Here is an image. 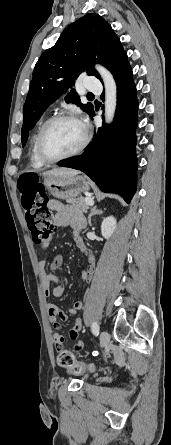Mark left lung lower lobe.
Wrapping results in <instances>:
<instances>
[{
	"label": "left lung lower lobe",
	"instance_id": "left-lung-lower-lobe-1",
	"mask_svg": "<svg viewBox=\"0 0 171 445\" xmlns=\"http://www.w3.org/2000/svg\"><path fill=\"white\" fill-rule=\"evenodd\" d=\"M117 108L111 125L103 124L93 141L79 156L58 162L59 166L81 170L107 193H118L129 203L136 191L135 153L138 101L129 63L115 74ZM95 116V110L90 117Z\"/></svg>",
	"mask_w": 171,
	"mask_h": 445
}]
</instances>
